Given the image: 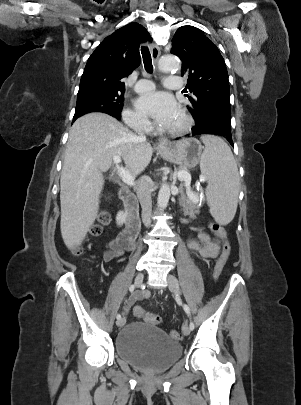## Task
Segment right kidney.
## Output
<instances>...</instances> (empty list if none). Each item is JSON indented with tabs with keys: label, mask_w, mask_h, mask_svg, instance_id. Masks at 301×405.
<instances>
[{
	"label": "right kidney",
	"mask_w": 301,
	"mask_h": 405,
	"mask_svg": "<svg viewBox=\"0 0 301 405\" xmlns=\"http://www.w3.org/2000/svg\"><path fill=\"white\" fill-rule=\"evenodd\" d=\"M126 217H127V213L126 212H123V211H120V212H118V214H117V216H116V222H117V225H123V223L125 222V220H126Z\"/></svg>",
	"instance_id": "ca27d5eb"
}]
</instances>
